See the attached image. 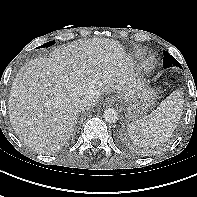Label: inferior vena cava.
<instances>
[{
  "label": "inferior vena cava",
  "mask_w": 197,
  "mask_h": 197,
  "mask_svg": "<svg viewBox=\"0 0 197 197\" xmlns=\"http://www.w3.org/2000/svg\"><path fill=\"white\" fill-rule=\"evenodd\" d=\"M99 96L96 94H90L84 97L80 102V109L84 111L85 109L94 106L98 101Z\"/></svg>",
  "instance_id": "obj_1"
}]
</instances>
